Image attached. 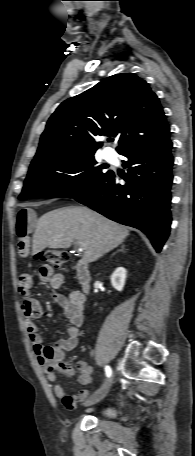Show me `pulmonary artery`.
I'll return each mask as SVG.
<instances>
[{
	"mask_svg": "<svg viewBox=\"0 0 195 456\" xmlns=\"http://www.w3.org/2000/svg\"><path fill=\"white\" fill-rule=\"evenodd\" d=\"M103 155L106 160H112L114 158V152L110 148H105Z\"/></svg>",
	"mask_w": 195,
	"mask_h": 456,
	"instance_id": "pulmonary-artery-1",
	"label": "pulmonary artery"
}]
</instances>
